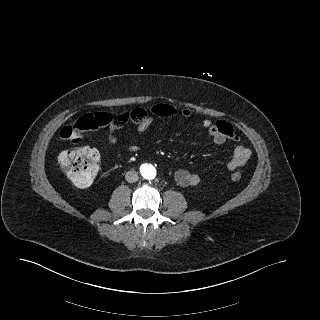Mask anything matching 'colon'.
I'll use <instances>...</instances> for the list:
<instances>
[{"instance_id": "1", "label": "colon", "mask_w": 320, "mask_h": 320, "mask_svg": "<svg viewBox=\"0 0 320 320\" xmlns=\"http://www.w3.org/2000/svg\"><path fill=\"white\" fill-rule=\"evenodd\" d=\"M121 116H112L107 112H97L81 116L76 123L61 129L60 137L77 143L84 131L96 130L117 123ZM99 153L93 147H78L64 151L58 158L59 165L68 178L78 187L85 188L92 184L99 169ZM232 180L241 178L239 172L231 175Z\"/></svg>"}]
</instances>
